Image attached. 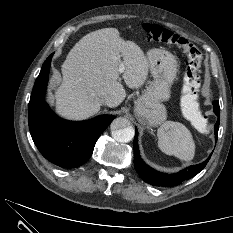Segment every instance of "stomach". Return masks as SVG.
Returning <instances> with one entry per match:
<instances>
[{
  "mask_svg": "<svg viewBox=\"0 0 233 233\" xmlns=\"http://www.w3.org/2000/svg\"><path fill=\"white\" fill-rule=\"evenodd\" d=\"M153 80L148 82L144 93L135 101V115L143 125L156 127L164 123L167 110L163 101L171 96V86L176 78L178 64L175 57L163 49L147 52Z\"/></svg>",
  "mask_w": 233,
  "mask_h": 233,
  "instance_id": "1",
  "label": "stomach"
}]
</instances>
